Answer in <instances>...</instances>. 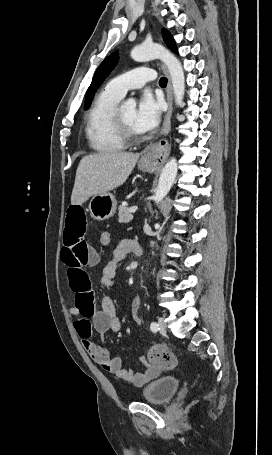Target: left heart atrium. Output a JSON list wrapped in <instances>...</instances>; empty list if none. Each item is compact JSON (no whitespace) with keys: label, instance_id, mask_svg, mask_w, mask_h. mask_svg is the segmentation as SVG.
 <instances>
[{"label":"left heart atrium","instance_id":"1","mask_svg":"<svg viewBox=\"0 0 272 455\" xmlns=\"http://www.w3.org/2000/svg\"><path fill=\"white\" fill-rule=\"evenodd\" d=\"M163 110L162 102L145 93L139 100L135 113L134 128L138 133H145L153 130L160 122Z\"/></svg>","mask_w":272,"mask_h":455}]
</instances>
